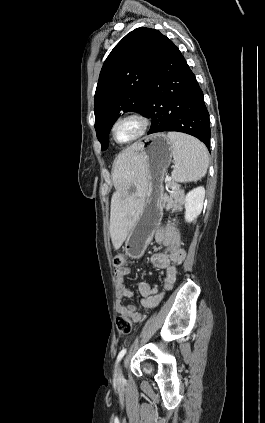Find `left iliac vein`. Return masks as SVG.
<instances>
[{
  "instance_id": "1",
  "label": "left iliac vein",
  "mask_w": 265,
  "mask_h": 423,
  "mask_svg": "<svg viewBox=\"0 0 265 423\" xmlns=\"http://www.w3.org/2000/svg\"><path fill=\"white\" fill-rule=\"evenodd\" d=\"M123 379L121 367L117 370V381H121Z\"/></svg>"
}]
</instances>
